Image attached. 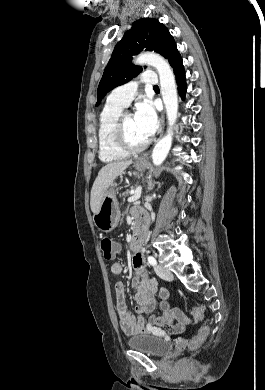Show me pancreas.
Here are the masks:
<instances>
[{
	"label": "pancreas",
	"instance_id": "obj_1",
	"mask_svg": "<svg viewBox=\"0 0 265 390\" xmlns=\"http://www.w3.org/2000/svg\"><path fill=\"white\" fill-rule=\"evenodd\" d=\"M130 193V189H127L126 192L123 193V197L127 196Z\"/></svg>",
	"mask_w": 265,
	"mask_h": 390
}]
</instances>
